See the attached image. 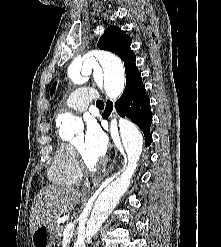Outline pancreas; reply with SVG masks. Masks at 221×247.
Listing matches in <instances>:
<instances>
[{"mask_svg": "<svg viewBox=\"0 0 221 247\" xmlns=\"http://www.w3.org/2000/svg\"><path fill=\"white\" fill-rule=\"evenodd\" d=\"M52 224H53L52 230H53L54 237H56V239L60 242L64 227L61 224H58L55 222H53Z\"/></svg>", "mask_w": 221, "mask_h": 247, "instance_id": "cf45deb5", "label": "pancreas"}]
</instances>
